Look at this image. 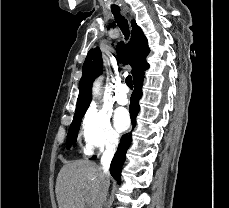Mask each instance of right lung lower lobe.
I'll list each match as a JSON object with an SVG mask.
<instances>
[{"instance_id": "obj_1", "label": "right lung lower lobe", "mask_w": 229, "mask_h": 208, "mask_svg": "<svg viewBox=\"0 0 229 208\" xmlns=\"http://www.w3.org/2000/svg\"><path fill=\"white\" fill-rule=\"evenodd\" d=\"M143 79H144V74L134 79V92L131 97V104L129 108L131 122L133 126L136 125V117L140 110V106L138 102L142 95ZM131 140H132L131 134H125L122 136L120 144L118 146L117 153L115 154L110 166V173L117 180L118 183H120L122 165L125 161L126 151L130 146Z\"/></svg>"}]
</instances>
